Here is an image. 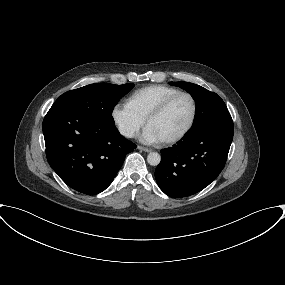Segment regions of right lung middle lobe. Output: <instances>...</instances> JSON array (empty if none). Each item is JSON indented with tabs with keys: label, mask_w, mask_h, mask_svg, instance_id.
Masks as SVG:
<instances>
[{
	"label": "right lung middle lobe",
	"mask_w": 285,
	"mask_h": 285,
	"mask_svg": "<svg viewBox=\"0 0 285 285\" xmlns=\"http://www.w3.org/2000/svg\"><path fill=\"white\" fill-rule=\"evenodd\" d=\"M134 84H90L62 94L53 105L74 109L102 124L114 125L112 111L118 101Z\"/></svg>",
	"instance_id": "right-lung-middle-lobe-1"
}]
</instances>
